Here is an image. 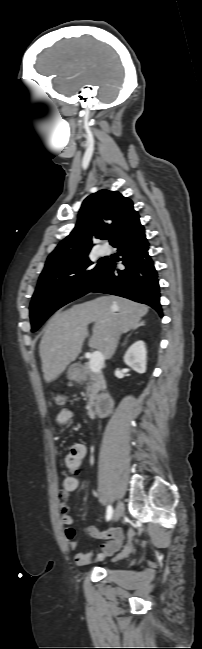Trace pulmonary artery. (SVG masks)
<instances>
[{
    "label": "pulmonary artery",
    "mask_w": 202,
    "mask_h": 649,
    "mask_svg": "<svg viewBox=\"0 0 202 649\" xmlns=\"http://www.w3.org/2000/svg\"><path fill=\"white\" fill-rule=\"evenodd\" d=\"M109 253V248L107 246H101L99 248V254L105 256Z\"/></svg>",
    "instance_id": "pulmonary-artery-1"
}]
</instances>
